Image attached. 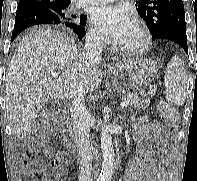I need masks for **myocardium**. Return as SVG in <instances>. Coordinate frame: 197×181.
Segmentation results:
<instances>
[{
    "label": "myocardium",
    "instance_id": "f54148a6",
    "mask_svg": "<svg viewBox=\"0 0 197 181\" xmlns=\"http://www.w3.org/2000/svg\"><path fill=\"white\" fill-rule=\"evenodd\" d=\"M134 24L140 33L139 42L133 46H116L118 51L128 55H138L144 53L151 43V33L147 25L141 20H136Z\"/></svg>",
    "mask_w": 197,
    "mask_h": 181
}]
</instances>
